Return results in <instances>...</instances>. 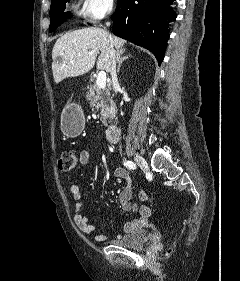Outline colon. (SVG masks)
Masks as SVG:
<instances>
[{
  "mask_svg": "<svg viewBox=\"0 0 240 281\" xmlns=\"http://www.w3.org/2000/svg\"><path fill=\"white\" fill-rule=\"evenodd\" d=\"M77 164H78V157L71 150H66L62 152L58 160V167L62 171H71L77 167Z\"/></svg>",
  "mask_w": 240,
  "mask_h": 281,
  "instance_id": "5ec220e1",
  "label": "colon"
}]
</instances>
